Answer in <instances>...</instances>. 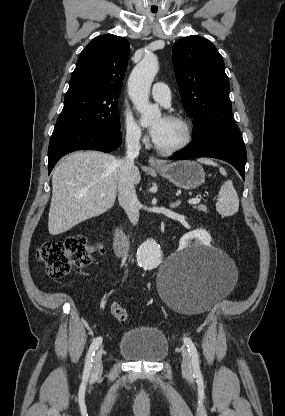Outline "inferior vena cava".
<instances>
[{
    "label": "inferior vena cava",
    "mask_w": 285,
    "mask_h": 416,
    "mask_svg": "<svg viewBox=\"0 0 285 416\" xmlns=\"http://www.w3.org/2000/svg\"><path fill=\"white\" fill-rule=\"evenodd\" d=\"M126 148V158L118 160V200L131 224L135 226L139 220L140 202L132 182L131 170H133L134 160L139 156V150H141L137 132L127 130Z\"/></svg>",
    "instance_id": "602c4592"
}]
</instances>
